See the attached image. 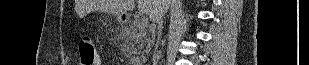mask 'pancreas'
<instances>
[{"label": "pancreas", "mask_w": 309, "mask_h": 65, "mask_svg": "<svg viewBox=\"0 0 309 65\" xmlns=\"http://www.w3.org/2000/svg\"><path fill=\"white\" fill-rule=\"evenodd\" d=\"M128 36L131 44L130 54L135 58H141L149 52L152 39L146 27L141 25L140 20H135L128 28Z\"/></svg>", "instance_id": "obj_1"}]
</instances>
